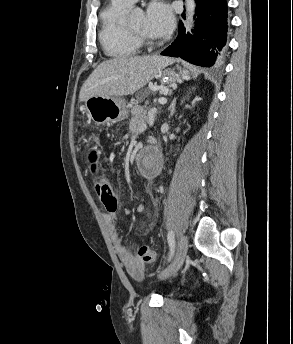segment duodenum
<instances>
[{
	"label": "duodenum",
	"mask_w": 293,
	"mask_h": 344,
	"mask_svg": "<svg viewBox=\"0 0 293 344\" xmlns=\"http://www.w3.org/2000/svg\"><path fill=\"white\" fill-rule=\"evenodd\" d=\"M156 141H154V143H155ZM136 164L138 165V166H141V158H142V154L139 152V153H137L136 154ZM158 166H162V158H161V156H159V158H158Z\"/></svg>",
	"instance_id": "1"
}]
</instances>
